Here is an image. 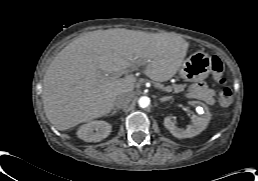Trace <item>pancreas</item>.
<instances>
[{
  "label": "pancreas",
  "mask_w": 258,
  "mask_h": 181,
  "mask_svg": "<svg viewBox=\"0 0 258 181\" xmlns=\"http://www.w3.org/2000/svg\"><path fill=\"white\" fill-rule=\"evenodd\" d=\"M170 89L174 92V93H181L185 90L186 88V85L185 84H174L172 86H169Z\"/></svg>",
  "instance_id": "cf45deb5"
}]
</instances>
